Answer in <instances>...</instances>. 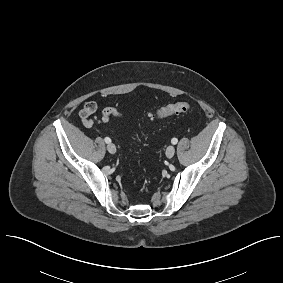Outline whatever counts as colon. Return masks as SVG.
Instances as JSON below:
<instances>
[{
    "label": "colon",
    "mask_w": 283,
    "mask_h": 283,
    "mask_svg": "<svg viewBox=\"0 0 283 283\" xmlns=\"http://www.w3.org/2000/svg\"><path fill=\"white\" fill-rule=\"evenodd\" d=\"M191 110V105L186 102H177L159 108L153 115L154 118L164 119L173 115L187 113Z\"/></svg>",
    "instance_id": "obj_1"
}]
</instances>
